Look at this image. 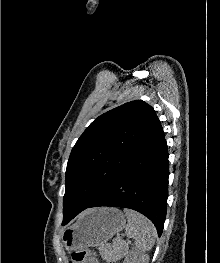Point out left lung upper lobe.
<instances>
[{"instance_id":"5c2ea615","label":"left lung upper lobe","mask_w":220,"mask_h":263,"mask_svg":"<svg viewBox=\"0 0 220 263\" xmlns=\"http://www.w3.org/2000/svg\"><path fill=\"white\" fill-rule=\"evenodd\" d=\"M161 130L154 109L142 100L95 119L71 151L63 215L86 209Z\"/></svg>"}]
</instances>
